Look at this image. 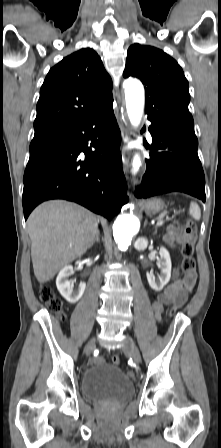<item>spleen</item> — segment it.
<instances>
[{"label": "spleen", "mask_w": 221, "mask_h": 448, "mask_svg": "<svg viewBox=\"0 0 221 448\" xmlns=\"http://www.w3.org/2000/svg\"><path fill=\"white\" fill-rule=\"evenodd\" d=\"M189 214L196 220L200 219L201 211L197 203L195 202L190 203Z\"/></svg>", "instance_id": "1"}]
</instances>
